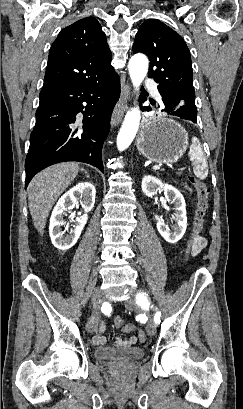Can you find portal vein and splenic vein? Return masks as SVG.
<instances>
[{"mask_svg": "<svg viewBox=\"0 0 243 409\" xmlns=\"http://www.w3.org/2000/svg\"><path fill=\"white\" fill-rule=\"evenodd\" d=\"M160 168V165H155V166H153V169L154 170H158Z\"/></svg>", "mask_w": 243, "mask_h": 409, "instance_id": "obj_1", "label": "portal vein and splenic vein"}]
</instances>
